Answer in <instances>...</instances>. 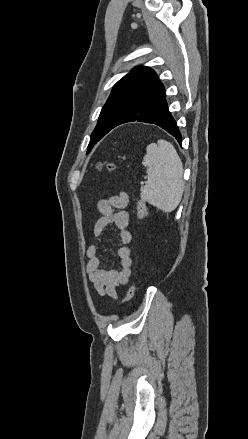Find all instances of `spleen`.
<instances>
[{
    "label": "spleen",
    "mask_w": 248,
    "mask_h": 439,
    "mask_svg": "<svg viewBox=\"0 0 248 439\" xmlns=\"http://www.w3.org/2000/svg\"><path fill=\"white\" fill-rule=\"evenodd\" d=\"M143 165L147 167V183L141 199L169 213L179 205L183 191V165L174 146L164 139L146 147Z\"/></svg>",
    "instance_id": "obj_1"
}]
</instances>
